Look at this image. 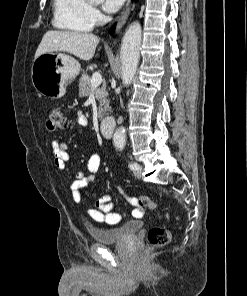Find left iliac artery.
Here are the masks:
<instances>
[{
  "mask_svg": "<svg viewBox=\"0 0 247 296\" xmlns=\"http://www.w3.org/2000/svg\"><path fill=\"white\" fill-rule=\"evenodd\" d=\"M129 168H130L131 170H136V169L138 168V164H137V163H130V164H129Z\"/></svg>",
  "mask_w": 247,
  "mask_h": 296,
  "instance_id": "left-iliac-artery-1",
  "label": "left iliac artery"
}]
</instances>
